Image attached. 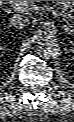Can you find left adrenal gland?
<instances>
[{
	"label": "left adrenal gland",
	"mask_w": 74,
	"mask_h": 122,
	"mask_svg": "<svg viewBox=\"0 0 74 122\" xmlns=\"http://www.w3.org/2000/svg\"><path fill=\"white\" fill-rule=\"evenodd\" d=\"M63 28H64V30H65L66 32H68L69 29H70L68 25H64Z\"/></svg>",
	"instance_id": "1"
}]
</instances>
